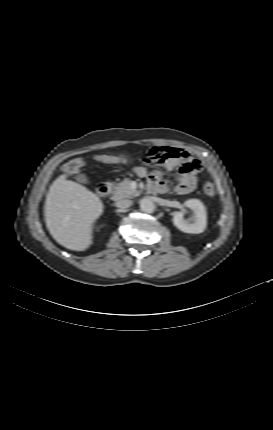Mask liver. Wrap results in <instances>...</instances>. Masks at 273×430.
I'll return each instance as SVG.
<instances>
[{"label": "liver", "mask_w": 273, "mask_h": 430, "mask_svg": "<svg viewBox=\"0 0 273 430\" xmlns=\"http://www.w3.org/2000/svg\"><path fill=\"white\" fill-rule=\"evenodd\" d=\"M60 175L46 196L44 215L52 237L64 247L84 251L92 244V229L104 205L86 187Z\"/></svg>", "instance_id": "1"}]
</instances>
